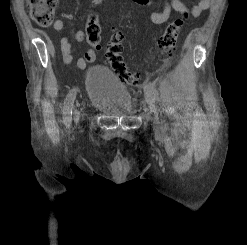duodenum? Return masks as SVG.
Listing matches in <instances>:
<instances>
[{"instance_id":"obj_1","label":"duodenum","mask_w":247,"mask_h":245,"mask_svg":"<svg viewBox=\"0 0 247 245\" xmlns=\"http://www.w3.org/2000/svg\"><path fill=\"white\" fill-rule=\"evenodd\" d=\"M94 1H96L97 3H100L102 0H94Z\"/></svg>"}]
</instances>
